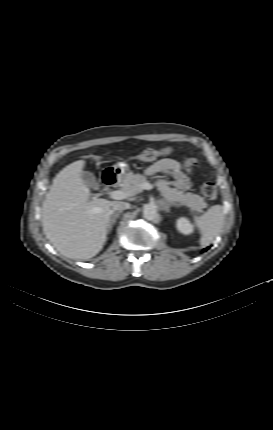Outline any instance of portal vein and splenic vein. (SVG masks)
<instances>
[{
	"label": "portal vein and splenic vein",
	"mask_w": 273,
	"mask_h": 430,
	"mask_svg": "<svg viewBox=\"0 0 273 430\" xmlns=\"http://www.w3.org/2000/svg\"><path fill=\"white\" fill-rule=\"evenodd\" d=\"M152 188H153L152 184L148 182H144L139 186V191L151 190ZM133 194H134L133 190H130V191L116 190L110 193V197L113 199L121 200V199L127 198L128 196H132Z\"/></svg>",
	"instance_id": "1"
}]
</instances>
